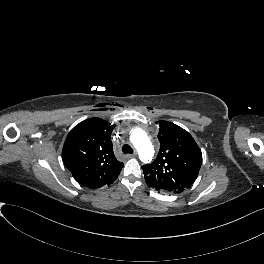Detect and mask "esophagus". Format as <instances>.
I'll list each match as a JSON object with an SVG mask.
<instances>
[{
  "instance_id": "esophagus-1",
  "label": "esophagus",
  "mask_w": 264,
  "mask_h": 264,
  "mask_svg": "<svg viewBox=\"0 0 264 264\" xmlns=\"http://www.w3.org/2000/svg\"><path fill=\"white\" fill-rule=\"evenodd\" d=\"M137 154L136 153H134V154H127L126 155V158H132V157H135Z\"/></svg>"
}]
</instances>
